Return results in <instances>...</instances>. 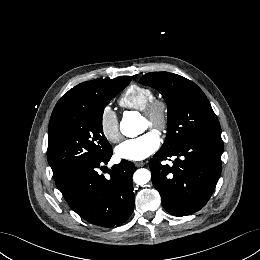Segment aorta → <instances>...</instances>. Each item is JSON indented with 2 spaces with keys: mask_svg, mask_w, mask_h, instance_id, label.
<instances>
[{
  "mask_svg": "<svg viewBox=\"0 0 260 260\" xmlns=\"http://www.w3.org/2000/svg\"><path fill=\"white\" fill-rule=\"evenodd\" d=\"M120 130L122 134L127 137H136L138 134H140L141 127L136 119L125 115L120 123ZM150 179L151 173L148 169L145 168L136 170L133 175V181L137 185H144L148 183Z\"/></svg>",
  "mask_w": 260,
  "mask_h": 260,
  "instance_id": "aorta-1",
  "label": "aorta"
}]
</instances>
